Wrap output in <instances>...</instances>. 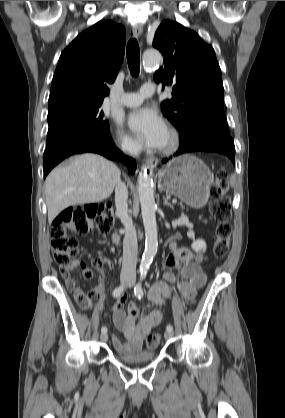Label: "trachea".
I'll return each instance as SVG.
<instances>
[{"label": "trachea", "mask_w": 285, "mask_h": 418, "mask_svg": "<svg viewBox=\"0 0 285 418\" xmlns=\"http://www.w3.org/2000/svg\"><path fill=\"white\" fill-rule=\"evenodd\" d=\"M127 63L132 76L136 77L140 70V49L136 39H131L126 50Z\"/></svg>", "instance_id": "trachea-1"}]
</instances>
